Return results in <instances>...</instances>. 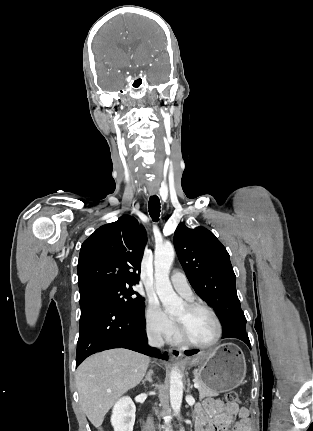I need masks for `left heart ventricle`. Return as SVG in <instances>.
<instances>
[{"label": "left heart ventricle", "instance_id": "1", "mask_svg": "<svg viewBox=\"0 0 313 431\" xmlns=\"http://www.w3.org/2000/svg\"><path fill=\"white\" fill-rule=\"evenodd\" d=\"M174 318L183 323L186 335L195 343L207 344L213 341L216 336V323L206 310L199 309L189 313L183 305L174 314Z\"/></svg>", "mask_w": 313, "mask_h": 431}]
</instances>
